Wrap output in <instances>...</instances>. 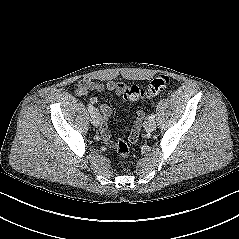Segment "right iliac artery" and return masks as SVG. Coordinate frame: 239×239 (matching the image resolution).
<instances>
[{
	"label": "right iliac artery",
	"mask_w": 239,
	"mask_h": 239,
	"mask_svg": "<svg viewBox=\"0 0 239 239\" xmlns=\"http://www.w3.org/2000/svg\"><path fill=\"white\" fill-rule=\"evenodd\" d=\"M94 107H93V105H91V104H88V111L91 113V114H94Z\"/></svg>",
	"instance_id": "1"
}]
</instances>
